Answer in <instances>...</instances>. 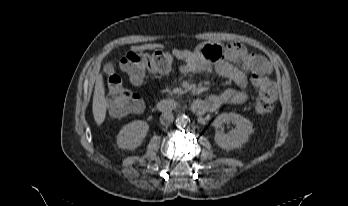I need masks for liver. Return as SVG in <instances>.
<instances>
[{
  "label": "liver",
  "instance_id": "obj_1",
  "mask_svg": "<svg viewBox=\"0 0 348 206\" xmlns=\"http://www.w3.org/2000/svg\"><path fill=\"white\" fill-rule=\"evenodd\" d=\"M107 102L105 99V89L103 77L99 76L95 84L93 96V116L97 125H101L106 117Z\"/></svg>",
  "mask_w": 348,
  "mask_h": 206
}]
</instances>
